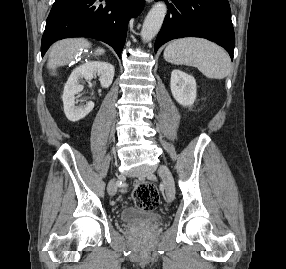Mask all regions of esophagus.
I'll use <instances>...</instances> for the list:
<instances>
[{
	"instance_id": "obj_1",
	"label": "esophagus",
	"mask_w": 286,
	"mask_h": 269,
	"mask_svg": "<svg viewBox=\"0 0 286 269\" xmlns=\"http://www.w3.org/2000/svg\"><path fill=\"white\" fill-rule=\"evenodd\" d=\"M148 3L152 2L153 0H146Z\"/></svg>"
}]
</instances>
